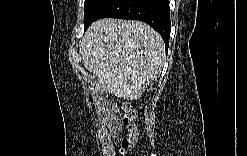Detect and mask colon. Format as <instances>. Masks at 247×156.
<instances>
[{"instance_id":"5ec220e1","label":"colon","mask_w":247,"mask_h":156,"mask_svg":"<svg viewBox=\"0 0 247 156\" xmlns=\"http://www.w3.org/2000/svg\"><path fill=\"white\" fill-rule=\"evenodd\" d=\"M119 119L121 123L126 127L127 134L123 138L121 142V146L119 148V155L124 156L129 154L137 141V127L135 124V114L128 103H123L121 105L120 113H119Z\"/></svg>"}]
</instances>
